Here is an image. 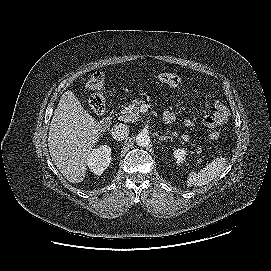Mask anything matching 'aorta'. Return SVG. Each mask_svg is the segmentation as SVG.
<instances>
[{
  "mask_svg": "<svg viewBox=\"0 0 271 271\" xmlns=\"http://www.w3.org/2000/svg\"><path fill=\"white\" fill-rule=\"evenodd\" d=\"M136 144L140 147H146L150 144V136L146 132H140L136 136Z\"/></svg>",
  "mask_w": 271,
  "mask_h": 271,
  "instance_id": "762f6f07",
  "label": "aorta"
}]
</instances>
